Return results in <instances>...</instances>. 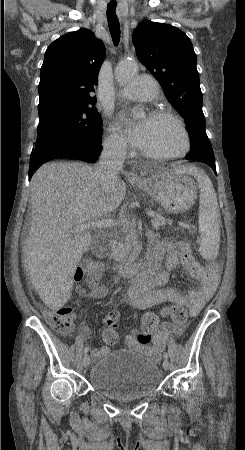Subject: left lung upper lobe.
<instances>
[{"label": "left lung upper lobe", "mask_w": 245, "mask_h": 450, "mask_svg": "<svg viewBox=\"0 0 245 450\" xmlns=\"http://www.w3.org/2000/svg\"><path fill=\"white\" fill-rule=\"evenodd\" d=\"M139 60L158 80L168 100L185 119L191 155L210 147L202 111V92L196 54L187 35L178 28L143 20L133 32Z\"/></svg>", "instance_id": "obj_1"}]
</instances>
